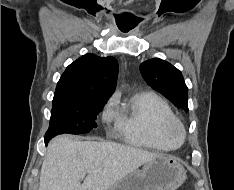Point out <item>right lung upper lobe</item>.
<instances>
[{
    "label": "right lung upper lobe",
    "mask_w": 234,
    "mask_h": 190,
    "mask_svg": "<svg viewBox=\"0 0 234 190\" xmlns=\"http://www.w3.org/2000/svg\"><path fill=\"white\" fill-rule=\"evenodd\" d=\"M117 75L115 58L86 54L66 68L55 93L107 101L115 90Z\"/></svg>",
    "instance_id": "cb5924a9"
}]
</instances>
